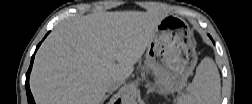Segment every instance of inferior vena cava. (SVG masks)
I'll list each match as a JSON object with an SVG mask.
<instances>
[{
  "mask_svg": "<svg viewBox=\"0 0 252 104\" xmlns=\"http://www.w3.org/2000/svg\"><path fill=\"white\" fill-rule=\"evenodd\" d=\"M121 84H122L121 80H118V79L110 80L106 86L107 91L113 92V91L117 90Z\"/></svg>",
  "mask_w": 252,
  "mask_h": 104,
  "instance_id": "1",
  "label": "inferior vena cava"
}]
</instances>
